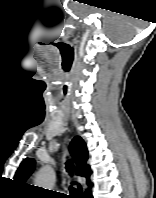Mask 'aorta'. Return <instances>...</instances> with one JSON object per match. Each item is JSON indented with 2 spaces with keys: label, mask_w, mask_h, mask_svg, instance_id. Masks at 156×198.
Masks as SVG:
<instances>
[{
  "label": "aorta",
  "mask_w": 156,
  "mask_h": 198,
  "mask_svg": "<svg viewBox=\"0 0 156 198\" xmlns=\"http://www.w3.org/2000/svg\"><path fill=\"white\" fill-rule=\"evenodd\" d=\"M55 179L56 175L53 168L50 166H44L36 175L35 186L51 190L54 186Z\"/></svg>",
  "instance_id": "1"
}]
</instances>
